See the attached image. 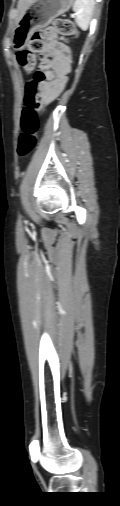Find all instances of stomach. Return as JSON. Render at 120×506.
Masks as SVG:
<instances>
[{"mask_svg":"<svg viewBox=\"0 0 120 506\" xmlns=\"http://www.w3.org/2000/svg\"><path fill=\"white\" fill-rule=\"evenodd\" d=\"M73 3L74 0H34L12 32L14 50L24 49L34 29L48 25L55 17L68 11Z\"/></svg>","mask_w":120,"mask_h":506,"instance_id":"0dacf381","label":"stomach"}]
</instances>
